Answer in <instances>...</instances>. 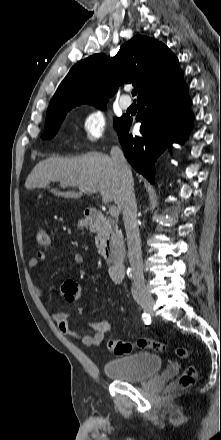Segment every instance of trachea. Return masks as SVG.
Returning <instances> with one entry per match:
<instances>
[{"label": "trachea", "instance_id": "1", "mask_svg": "<svg viewBox=\"0 0 221 440\" xmlns=\"http://www.w3.org/2000/svg\"><path fill=\"white\" fill-rule=\"evenodd\" d=\"M137 92H138V90H137V89H134V90L132 91V95L135 96V95L137 94Z\"/></svg>", "mask_w": 221, "mask_h": 440}]
</instances>
